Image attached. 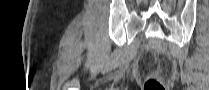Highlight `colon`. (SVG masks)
Returning <instances> with one entry per match:
<instances>
[{
    "label": "colon",
    "mask_w": 209,
    "mask_h": 90,
    "mask_svg": "<svg viewBox=\"0 0 209 90\" xmlns=\"http://www.w3.org/2000/svg\"><path fill=\"white\" fill-rule=\"evenodd\" d=\"M166 86L156 78H149L144 84V90H166Z\"/></svg>",
    "instance_id": "colon-1"
}]
</instances>
